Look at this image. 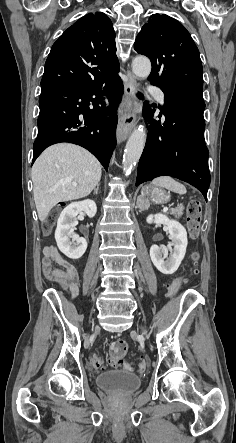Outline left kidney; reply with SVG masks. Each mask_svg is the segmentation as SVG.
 Wrapping results in <instances>:
<instances>
[{
	"label": "left kidney",
	"instance_id": "5707ae66",
	"mask_svg": "<svg viewBox=\"0 0 236 443\" xmlns=\"http://www.w3.org/2000/svg\"><path fill=\"white\" fill-rule=\"evenodd\" d=\"M149 224H163L170 234L173 252L168 257V249L152 245L150 257L155 267L163 274L170 275L177 271L186 254L188 244L186 229L177 221L169 219L163 214L149 215ZM166 259V260H165Z\"/></svg>",
	"mask_w": 236,
	"mask_h": 443
}]
</instances>
